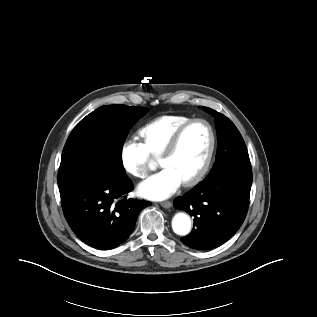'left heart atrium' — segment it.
<instances>
[{
	"instance_id": "obj_1",
	"label": "left heart atrium",
	"mask_w": 317,
	"mask_h": 317,
	"mask_svg": "<svg viewBox=\"0 0 317 317\" xmlns=\"http://www.w3.org/2000/svg\"><path fill=\"white\" fill-rule=\"evenodd\" d=\"M182 182L171 168L164 167L143 181L138 187V192L148 199L162 200L171 196Z\"/></svg>"
}]
</instances>
